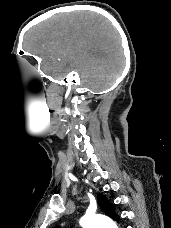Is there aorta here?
Returning a JSON list of instances; mask_svg holds the SVG:
<instances>
[{"label":"aorta","mask_w":171,"mask_h":228,"mask_svg":"<svg viewBox=\"0 0 171 228\" xmlns=\"http://www.w3.org/2000/svg\"><path fill=\"white\" fill-rule=\"evenodd\" d=\"M82 228H118L110 218L99 214H86L80 219Z\"/></svg>","instance_id":"762f6f07"}]
</instances>
